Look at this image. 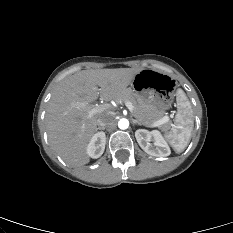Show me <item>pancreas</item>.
<instances>
[{
	"label": "pancreas",
	"mask_w": 233,
	"mask_h": 233,
	"mask_svg": "<svg viewBox=\"0 0 233 233\" xmlns=\"http://www.w3.org/2000/svg\"><path fill=\"white\" fill-rule=\"evenodd\" d=\"M119 101H129L134 107V116L145 126H152V124L161 118L163 113L156 111L150 104L146 103L138 94L131 89L126 90ZM167 128V126H164Z\"/></svg>",
	"instance_id": "pancreas-1"
}]
</instances>
